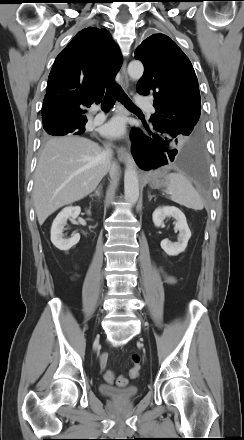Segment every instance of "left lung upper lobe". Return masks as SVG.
<instances>
[{
    "mask_svg": "<svg viewBox=\"0 0 244 440\" xmlns=\"http://www.w3.org/2000/svg\"><path fill=\"white\" fill-rule=\"evenodd\" d=\"M135 58L144 65L137 92L154 98L156 113L151 121L157 122L172 138L201 136L198 80L183 51L170 37L158 33L137 47Z\"/></svg>",
    "mask_w": 244,
    "mask_h": 440,
    "instance_id": "obj_1",
    "label": "left lung upper lobe"
}]
</instances>
